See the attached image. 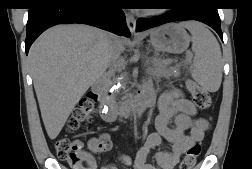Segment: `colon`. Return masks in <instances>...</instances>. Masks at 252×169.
Returning a JSON list of instances; mask_svg holds the SVG:
<instances>
[{"label":"colon","mask_w":252,"mask_h":169,"mask_svg":"<svg viewBox=\"0 0 252 169\" xmlns=\"http://www.w3.org/2000/svg\"><path fill=\"white\" fill-rule=\"evenodd\" d=\"M188 90L192 96L194 104L200 110H207L211 106V97L208 91L203 89L194 81H187ZM96 94L88 93L74 109L68 122L70 131H75L81 125L88 123L92 119ZM83 149L82 142L78 139L61 138L55 144L57 156L66 161L73 169H82V158L80 152ZM199 144L192 145L185 153L179 169H192L200 155Z\"/></svg>","instance_id":"1"}]
</instances>
